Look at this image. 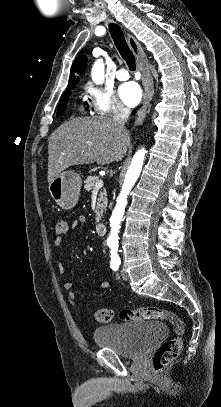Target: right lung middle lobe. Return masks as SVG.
Segmentation results:
<instances>
[{
  "mask_svg": "<svg viewBox=\"0 0 221 407\" xmlns=\"http://www.w3.org/2000/svg\"><path fill=\"white\" fill-rule=\"evenodd\" d=\"M71 89H67L66 92L64 93V95L61 97L60 99V103L58 106V110H57V116H61L62 113L66 110V104H67V100L71 94Z\"/></svg>",
  "mask_w": 221,
  "mask_h": 407,
  "instance_id": "obj_1",
  "label": "right lung middle lobe"
}]
</instances>
